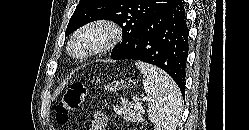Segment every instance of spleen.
Instances as JSON below:
<instances>
[{"label": "spleen", "mask_w": 249, "mask_h": 130, "mask_svg": "<svg viewBox=\"0 0 249 130\" xmlns=\"http://www.w3.org/2000/svg\"><path fill=\"white\" fill-rule=\"evenodd\" d=\"M143 74V85L148 94V118L155 130H176L182 113V95L174 80L160 68L136 62Z\"/></svg>", "instance_id": "3e777b00"}]
</instances>
